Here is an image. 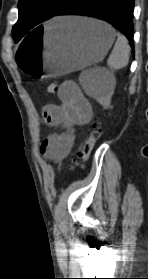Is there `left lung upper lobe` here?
Returning a JSON list of instances; mask_svg holds the SVG:
<instances>
[{
	"instance_id": "1",
	"label": "left lung upper lobe",
	"mask_w": 148,
	"mask_h": 279,
	"mask_svg": "<svg viewBox=\"0 0 148 279\" xmlns=\"http://www.w3.org/2000/svg\"><path fill=\"white\" fill-rule=\"evenodd\" d=\"M70 0H19V19L12 34L15 42L41 22L56 15Z\"/></svg>"
}]
</instances>
